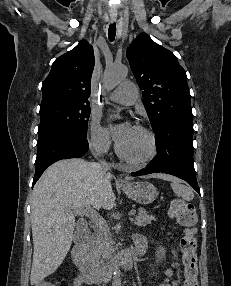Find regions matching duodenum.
<instances>
[{
  "label": "duodenum",
  "mask_w": 231,
  "mask_h": 286,
  "mask_svg": "<svg viewBox=\"0 0 231 286\" xmlns=\"http://www.w3.org/2000/svg\"><path fill=\"white\" fill-rule=\"evenodd\" d=\"M90 244V234L84 232L81 234L78 242L72 250V259L78 268L81 277L87 284L107 283L111 280L114 271L119 268L122 271L132 269L135 262L144 254L146 243L142 238L135 240V248L125 252L118 261L97 269L87 260V251Z\"/></svg>",
  "instance_id": "obj_1"
}]
</instances>
